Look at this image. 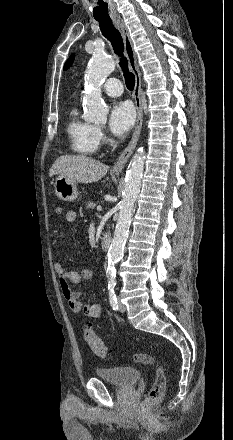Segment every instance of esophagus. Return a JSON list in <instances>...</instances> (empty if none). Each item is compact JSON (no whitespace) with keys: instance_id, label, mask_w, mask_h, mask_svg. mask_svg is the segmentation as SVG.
Instances as JSON below:
<instances>
[{"instance_id":"esophagus-1","label":"esophagus","mask_w":233,"mask_h":440,"mask_svg":"<svg viewBox=\"0 0 233 440\" xmlns=\"http://www.w3.org/2000/svg\"><path fill=\"white\" fill-rule=\"evenodd\" d=\"M113 21L122 35L124 42V52L128 61V66L131 72L135 76V86H134L133 96H134L135 107L137 110L136 125L133 131L132 138L128 146L125 148V150L118 158L117 162L112 167V171L114 173H121L138 142L142 127V121H143V110L141 104V77L137 66V58L133 48V43L129 36L128 29L124 21L120 18V16L114 17Z\"/></svg>"}]
</instances>
